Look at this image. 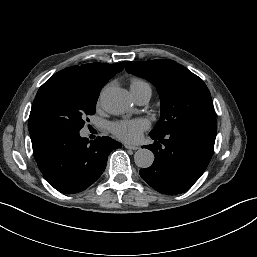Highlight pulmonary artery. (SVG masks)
<instances>
[{"instance_id": "pulmonary-artery-1", "label": "pulmonary artery", "mask_w": 257, "mask_h": 257, "mask_svg": "<svg viewBox=\"0 0 257 257\" xmlns=\"http://www.w3.org/2000/svg\"><path fill=\"white\" fill-rule=\"evenodd\" d=\"M151 97V91H143L133 96L135 102L139 105L146 104Z\"/></svg>"}]
</instances>
